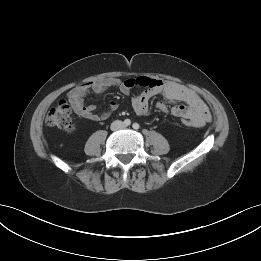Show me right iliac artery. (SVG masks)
Wrapping results in <instances>:
<instances>
[{
    "label": "right iliac artery",
    "mask_w": 261,
    "mask_h": 261,
    "mask_svg": "<svg viewBox=\"0 0 261 261\" xmlns=\"http://www.w3.org/2000/svg\"><path fill=\"white\" fill-rule=\"evenodd\" d=\"M124 124H125L126 126H129V125L131 124L130 119H125V120H124Z\"/></svg>",
    "instance_id": "obj_1"
}]
</instances>
